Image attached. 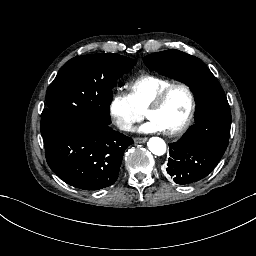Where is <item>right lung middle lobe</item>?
Instances as JSON below:
<instances>
[{
    "mask_svg": "<svg viewBox=\"0 0 256 256\" xmlns=\"http://www.w3.org/2000/svg\"><path fill=\"white\" fill-rule=\"evenodd\" d=\"M135 64L136 60L111 53L69 60L47 90L41 134L55 129L79 132L87 125H109L112 88Z\"/></svg>",
    "mask_w": 256,
    "mask_h": 256,
    "instance_id": "obj_1",
    "label": "right lung middle lobe"
}]
</instances>
